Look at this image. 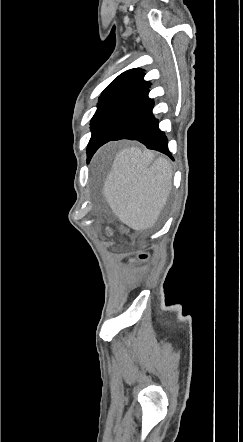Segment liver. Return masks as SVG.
Segmentation results:
<instances>
[{
  "label": "liver",
  "instance_id": "obj_1",
  "mask_svg": "<svg viewBox=\"0 0 243 442\" xmlns=\"http://www.w3.org/2000/svg\"><path fill=\"white\" fill-rule=\"evenodd\" d=\"M139 147L120 150L103 187L119 220L136 231L152 228L172 189L170 162Z\"/></svg>",
  "mask_w": 243,
  "mask_h": 442
}]
</instances>
